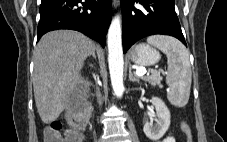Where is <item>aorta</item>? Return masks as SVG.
I'll return each instance as SVG.
<instances>
[{"instance_id":"762f6f07","label":"aorta","mask_w":227,"mask_h":142,"mask_svg":"<svg viewBox=\"0 0 227 142\" xmlns=\"http://www.w3.org/2000/svg\"><path fill=\"white\" fill-rule=\"evenodd\" d=\"M108 63L111 84L116 96L121 97L124 92L123 85V50L121 39V19L114 17L108 30Z\"/></svg>"}]
</instances>
